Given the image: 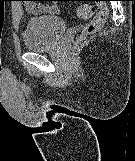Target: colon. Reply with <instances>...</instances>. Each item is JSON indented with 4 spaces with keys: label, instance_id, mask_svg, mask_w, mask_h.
<instances>
[{
    "label": "colon",
    "instance_id": "colon-1",
    "mask_svg": "<svg viewBox=\"0 0 135 161\" xmlns=\"http://www.w3.org/2000/svg\"><path fill=\"white\" fill-rule=\"evenodd\" d=\"M99 7L100 9L95 15H94L95 6L93 4L85 3L78 7L77 13L80 17L82 18L93 17V18L85 26L83 35L79 37V39L77 40V43H80L83 40L84 36L92 35L98 32L103 27L108 17V8L103 4H100Z\"/></svg>",
    "mask_w": 135,
    "mask_h": 161
}]
</instances>
